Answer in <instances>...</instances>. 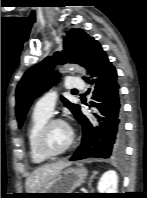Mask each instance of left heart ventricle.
<instances>
[{"instance_id":"b2bd125f","label":"left heart ventricle","mask_w":147,"mask_h":198,"mask_svg":"<svg viewBox=\"0 0 147 198\" xmlns=\"http://www.w3.org/2000/svg\"><path fill=\"white\" fill-rule=\"evenodd\" d=\"M69 139V132L65 125L54 124L47 134V146L52 151H59L62 149Z\"/></svg>"}]
</instances>
